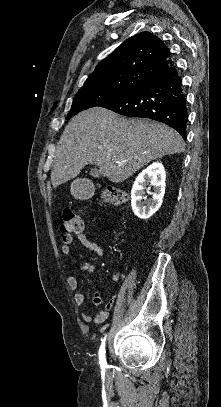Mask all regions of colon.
<instances>
[{"label": "colon", "instance_id": "colon-1", "mask_svg": "<svg viewBox=\"0 0 221 407\" xmlns=\"http://www.w3.org/2000/svg\"><path fill=\"white\" fill-rule=\"evenodd\" d=\"M102 201L109 202L115 206H121L128 201L127 194L120 188L108 186L102 192ZM84 224L82 218L73 211H65L63 220L60 224V231L64 235H72L83 230Z\"/></svg>", "mask_w": 221, "mask_h": 407}]
</instances>
